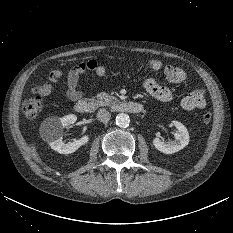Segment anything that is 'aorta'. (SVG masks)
<instances>
[{
    "label": "aorta",
    "mask_w": 233,
    "mask_h": 233,
    "mask_svg": "<svg viewBox=\"0 0 233 233\" xmlns=\"http://www.w3.org/2000/svg\"><path fill=\"white\" fill-rule=\"evenodd\" d=\"M129 123H130V118H129V115L126 114V113H120L116 116V124L119 126V127H127L129 126Z\"/></svg>",
    "instance_id": "762f6f07"
}]
</instances>
